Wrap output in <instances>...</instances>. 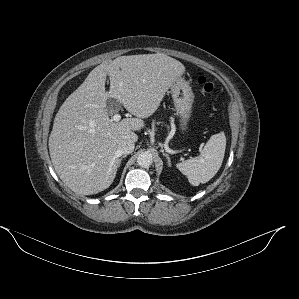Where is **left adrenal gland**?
<instances>
[{
  "mask_svg": "<svg viewBox=\"0 0 299 299\" xmlns=\"http://www.w3.org/2000/svg\"><path fill=\"white\" fill-rule=\"evenodd\" d=\"M164 156L166 157L167 159V162H168V166H171V160H170V157L168 154L164 153Z\"/></svg>",
  "mask_w": 299,
  "mask_h": 299,
  "instance_id": "a2214340",
  "label": "left adrenal gland"
}]
</instances>
